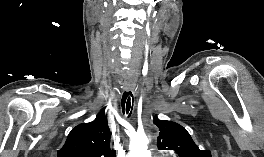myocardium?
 <instances>
[{"label":"myocardium","instance_id":"obj_1","mask_svg":"<svg viewBox=\"0 0 264 157\" xmlns=\"http://www.w3.org/2000/svg\"><path fill=\"white\" fill-rule=\"evenodd\" d=\"M157 157H172V156L162 155V156H157Z\"/></svg>","mask_w":264,"mask_h":157}]
</instances>
